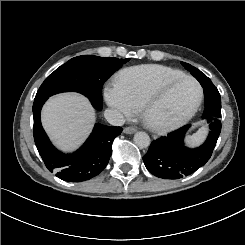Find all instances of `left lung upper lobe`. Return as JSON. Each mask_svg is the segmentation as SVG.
I'll use <instances>...</instances> for the list:
<instances>
[{
	"mask_svg": "<svg viewBox=\"0 0 245 245\" xmlns=\"http://www.w3.org/2000/svg\"><path fill=\"white\" fill-rule=\"evenodd\" d=\"M181 64H182L188 71H190L191 74H192L194 77H196L197 80L205 76L200 70H198L197 68L191 66L190 64L184 63V62H181Z\"/></svg>",
	"mask_w": 245,
	"mask_h": 245,
	"instance_id": "5c2ea615",
	"label": "left lung upper lobe"
}]
</instances>
